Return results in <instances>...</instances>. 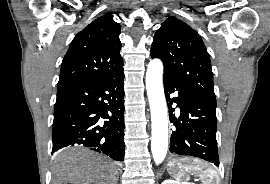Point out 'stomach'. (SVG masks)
<instances>
[{"instance_id": "1", "label": "stomach", "mask_w": 270, "mask_h": 184, "mask_svg": "<svg viewBox=\"0 0 270 184\" xmlns=\"http://www.w3.org/2000/svg\"><path fill=\"white\" fill-rule=\"evenodd\" d=\"M183 161L182 159H175L168 163V172L172 177H181V173L185 170V168L182 166Z\"/></svg>"}]
</instances>
